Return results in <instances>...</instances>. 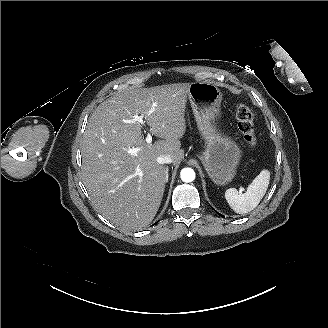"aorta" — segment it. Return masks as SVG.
I'll return each instance as SVG.
<instances>
[{
  "mask_svg": "<svg viewBox=\"0 0 328 328\" xmlns=\"http://www.w3.org/2000/svg\"><path fill=\"white\" fill-rule=\"evenodd\" d=\"M180 177L183 182L189 183L194 181L195 172L192 168H184L180 172Z\"/></svg>",
  "mask_w": 328,
  "mask_h": 328,
  "instance_id": "762f6f07",
  "label": "aorta"
}]
</instances>
